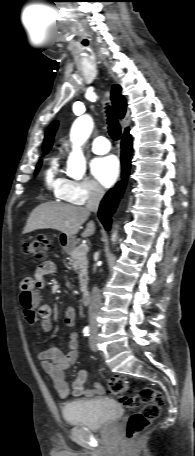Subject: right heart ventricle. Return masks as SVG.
Wrapping results in <instances>:
<instances>
[{
  "label": "right heart ventricle",
  "instance_id": "right-heart-ventricle-1",
  "mask_svg": "<svg viewBox=\"0 0 195 456\" xmlns=\"http://www.w3.org/2000/svg\"><path fill=\"white\" fill-rule=\"evenodd\" d=\"M66 179L59 171V162L53 158L44 172V184L46 188L58 199L64 200L63 190L67 183Z\"/></svg>",
  "mask_w": 195,
  "mask_h": 456
}]
</instances>
